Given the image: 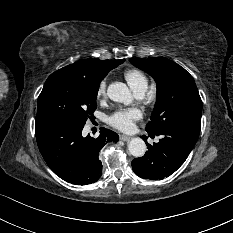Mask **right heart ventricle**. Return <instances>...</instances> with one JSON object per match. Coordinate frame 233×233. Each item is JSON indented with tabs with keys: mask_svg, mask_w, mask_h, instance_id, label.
<instances>
[{
	"mask_svg": "<svg viewBox=\"0 0 233 233\" xmlns=\"http://www.w3.org/2000/svg\"><path fill=\"white\" fill-rule=\"evenodd\" d=\"M124 78L135 93H144L148 87L146 74L139 69H129L124 72Z\"/></svg>",
	"mask_w": 233,
	"mask_h": 233,
	"instance_id": "right-heart-ventricle-1",
	"label": "right heart ventricle"
}]
</instances>
